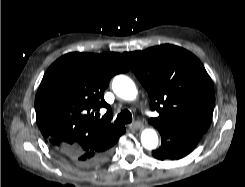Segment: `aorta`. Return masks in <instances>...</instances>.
Returning <instances> with one entry per match:
<instances>
[{
	"instance_id": "obj_1",
	"label": "aorta",
	"mask_w": 245,
	"mask_h": 187,
	"mask_svg": "<svg viewBox=\"0 0 245 187\" xmlns=\"http://www.w3.org/2000/svg\"><path fill=\"white\" fill-rule=\"evenodd\" d=\"M112 88L117 96L125 100H134L137 96V89L134 82L124 75H118L113 79ZM141 143L148 150L155 149L158 145L156 131L150 128L143 130L141 133Z\"/></svg>"
}]
</instances>
